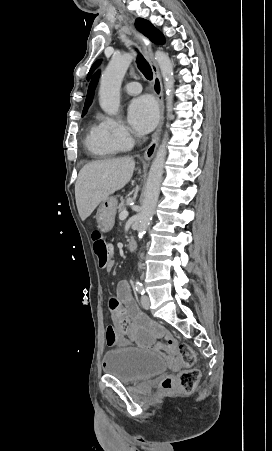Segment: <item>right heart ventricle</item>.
<instances>
[{
  "label": "right heart ventricle",
  "mask_w": 272,
  "mask_h": 451,
  "mask_svg": "<svg viewBox=\"0 0 272 451\" xmlns=\"http://www.w3.org/2000/svg\"><path fill=\"white\" fill-rule=\"evenodd\" d=\"M87 145L94 154L101 157L110 156L118 149V145L102 124H96L91 128Z\"/></svg>",
  "instance_id": "e07e8e85"
}]
</instances>
